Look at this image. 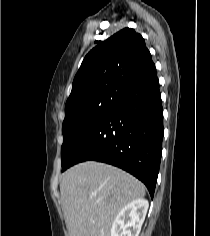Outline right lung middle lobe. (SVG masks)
Masks as SVG:
<instances>
[{
	"mask_svg": "<svg viewBox=\"0 0 210 236\" xmlns=\"http://www.w3.org/2000/svg\"><path fill=\"white\" fill-rule=\"evenodd\" d=\"M122 93V91H110L95 95L65 111L62 126L64 136L61 147L62 167L70 161L87 134L117 103Z\"/></svg>",
	"mask_w": 210,
	"mask_h": 236,
	"instance_id": "dd1d6c3e",
	"label": "right lung middle lobe"
}]
</instances>
